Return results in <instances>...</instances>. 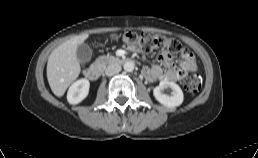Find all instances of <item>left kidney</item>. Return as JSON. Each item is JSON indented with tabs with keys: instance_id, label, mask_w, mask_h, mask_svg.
Returning <instances> with one entry per match:
<instances>
[{
	"instance_id": "left-kidney-1",
	"label": "left kidney",
	"mask_w": 258,
	"mask_h": 158,
	"mask_svg": "<svg viewBox=\"0 0 258 158\" xmlns=\"http://www.w3.org/2000/svg\"><path fill=\"white\" fill-rule=\"evenodd\" d=\"M168 87L172 90L170 95L162 92ZM153 95L159 103L169 108L181 105L184 99L180 86L167 80L160 81L159 85L154 88Z\"/></svg>"
}]
</instances>
